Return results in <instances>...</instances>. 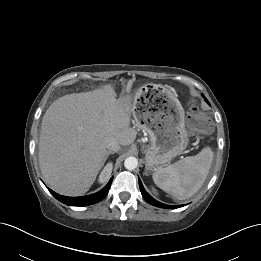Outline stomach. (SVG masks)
Wrapping results in <instances>:
<instances>
[{"label":"stomach","mask_w":261,"mask_h":261,"mask_svg":"<svg viewBox=\"0 0 261 261\" xmlns=\"http://www.w3.org/2000/svg\"><path fill=\"white\" fill-rule=\"evenodd\" d=\"M133 115L137 125L150 138V145L144 151L148 168L169 163L187 148L189 136L185 128V111L170 88L146 85L135 98Z\"/></svg>","instance_id":"obj_1"}]
</instances>
